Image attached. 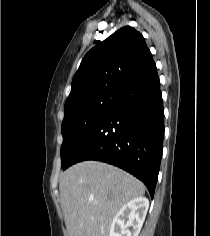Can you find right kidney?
I'll return each instance as SVG.
<instances>
[{
  "label": "right kidney",
  "instance_id": "right-kidney-1",
  "mask_svg": "<svg viewBox=\"0 0 210 236\" xmlns=\"http://www.w3.org/2000/svg\"><path fill=\"white\" fill-rule=\"evenodd\" d=\"M148 208L149 201L145 197L126 203L115 215L109 236H138Z\"/></svg>",
  "mask_w": 210,
  "mask_h": 236
}]
</instances>
